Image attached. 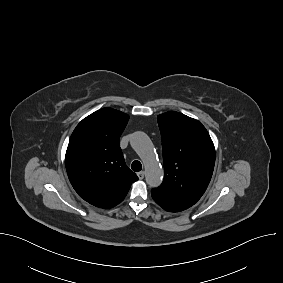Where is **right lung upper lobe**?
Instances as JSON below:
<instances>
[{
  "mask_svg": "<svg viewBox=\"0 0 283 283\" xmlns=\"http://www.w3.org/2000/svg\"><path fill=\"white\" fill-rule=\"evenodd\" d=\"M129 116L112 108L100 109L74 129L65 156L69 180L88 203L112 208L127 195L137 175L125 164L119 137Z\"/></svg>",
  "mask_w": 283,
  "mask_h": 283,
  "instance_id": "obj_1",
  "label": "right lung upper lobe"
}]
</instances>
